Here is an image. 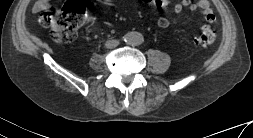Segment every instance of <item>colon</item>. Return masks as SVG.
<instances>
[{"mask_svg":"<svg viewBox=\"0 0 253 138\" xmlns=\"http://www.w3.org/2000/svg\"><path fill=\"white\" fill-rule=\"evenodd\" d=\"M87 8L83 0H68L60 9L43 11L39 16L40 24L50 29L53 40L57 43H68L78 28L86 21ZM215 33L204 30L197 38L200 46H208L215 42Z\"/></svg>","mask_w":253,"mask_h":138,"instance_id":"5ec220e1","label":"colon"}]
</instances>
